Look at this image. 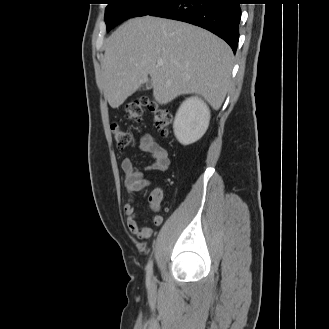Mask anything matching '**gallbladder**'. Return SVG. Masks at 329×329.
Wrapping results in <instances>:
<instances>
[{
    "instance_id": "bac80fb5",
    "label": "gallbladder",
    "mask_w": 329,
    "mask_h": 329,
    "mask_svg": "<svg viewBox=\"0 0 329 329\" xmlns=\"http://www.w3.org/2000/svg\"><path fill=\"white\" fill-rule=\"evenodd\" d=\"M152 81H151V79H148V81L146 82V86H145V89L146 90H149V89H151L152 88Z\"/></svg>"
}]
</instances>
